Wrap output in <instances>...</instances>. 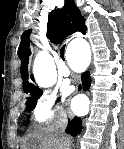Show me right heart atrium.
I'll use <instances>...</instances> for the list:
<instances>
[{
	"instance_id": "d8ad5b80",
	"label": "right heart atrium",
	"mask_w": 124,
	"mask_h": 149,
	"mask_svg": "<svg viewBox=\"0 0 124 149\" xmlns=\"http://www.w3.org/2000/svg\"><path fill=\"white\" fill-rule=\"evenodd\" d=\"M61 106L52 95H41L32 110V119L37 124H44L52 119L56 114H62Z\"/></svg>"
}]
</instances>
